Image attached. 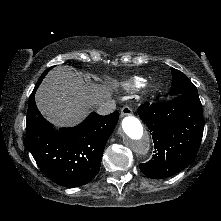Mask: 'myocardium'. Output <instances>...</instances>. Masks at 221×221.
<instances>
[{
    "label": "myocardium",
    "mask_w": 221,
    "mask_h": 221,
    "mask_svg": "<svg viewBox=\"0 0 221 221\" xmlns=\"http://www.w3.org/2000/svg\"><path fill=\"white\" fill-rule=\"evenodd\" d=\"M153 91H154L153 86H150L149 89H148V92L151 93V92H153Z\"/></svg>",
    "instance_id": "obj_1"
}]
</instances>
